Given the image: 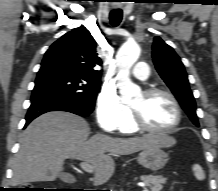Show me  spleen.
Returning a JSON list of instances; mask_svg holds the SVG:
<instances>
[{
    "instance_id": "spleen-1",
    "label": "spleen",
    "mask_w": 218,
    "mask_h": 191,
    "mask_svg": "<svg viewBox=\"0 0 218 191\" xmlns=\"http://www.w3.org/2000/svg\"><path fill=\"white\" fill-rule=\"evenodd\" d=\"M192 170H193L194 176L196 177L197 180H204L205 179L204 171L202 170L200 165L194 164L192 167Z\"/></svg>"
}]
</instances>
